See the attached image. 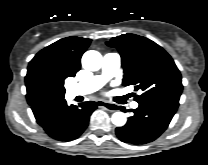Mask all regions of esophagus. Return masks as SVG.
<instances>
[{"mask_svg":"<svg viewBox=\"0 0 208 165\" xmlns=\"http://www.w3.org/2000/svg\"><path fill=\"white\" fill-rule=\"evenodd\" d=\"M97 105L111 112L117 111L118 109V107L115 104L102 100L97 101Z\"/></svg>","mask_w":208,"mask_h":165,"instance_id":"34e87169","label":"esophagus"}]
</instances>
